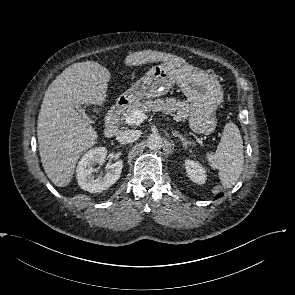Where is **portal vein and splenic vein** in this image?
I'll return each instance as SVG.
<instances>
[{
  "label": "portal vein and splenic vein",
  "mask_w": 295,
  "mask_h": 295,
  "mask_svg": "<svg viewBox=\"0 0 295 295\" xmlns=\"http://www.w3.org/2000/svg\"><path fill=\"white\" fill-rule=\"evenodd\" d=\"M145 118L146 115L142 111L136 110L125 118V123L128 125L138 126L144 121Z\"/></svg>",
  "instance_id": "18ae733b"
}]
</instances>
